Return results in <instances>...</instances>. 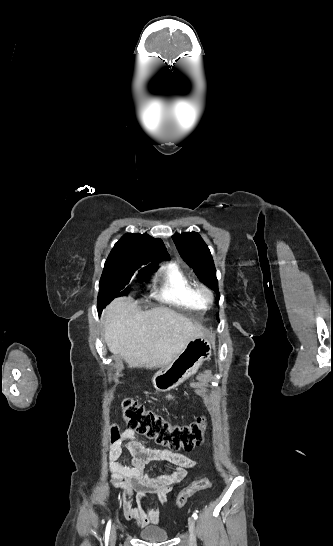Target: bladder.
Instances as JSON below:
<instances>
[{"instance_id":"1","label":"bladder","mask_w":333,"mask_h":546,"mask_svg":"<svg viewBox=\"0 0 333 546\" xmlns=\"http://www.w3.org/2000/svg\"><path fill=\"white\" fill-rule=\"evenodd\" d=\"M139 536L141 539L148 542H164L168 539L167 531L155 526H149L142 529L139 532Z\"/></svg>"}]
</instances>
